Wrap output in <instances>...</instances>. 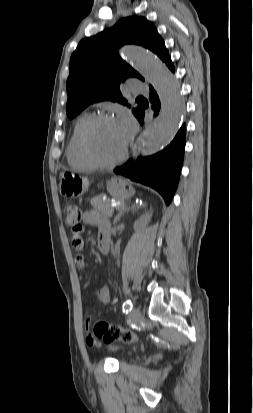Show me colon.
Segmentation results:
<instances>
[{"label":"colon","instance_id":"1","mask_svg":"<svg viewBox=\"0 0 253 413\" xmlns=\"http://www.w3.org/2000/svg\"><path fill=\"white\" fill-rule=\"evenodd\" d=\"M63 216L66 225L71 226L74 229L78 227L81 214L76 205L66 203L63 206ZM92 336L107 343L114 341L133 343L138 340V336L134 332L119 326L111 325L104 321H99L94 325Z\"/></svg>","mask_w":253,"mask_h":413}]
</instances>
